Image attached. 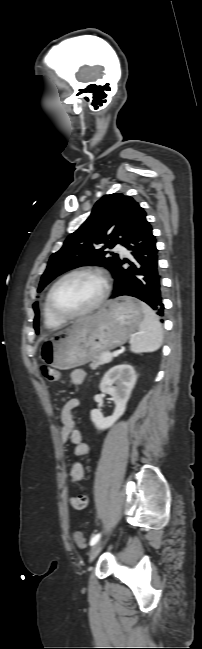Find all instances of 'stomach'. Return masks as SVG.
<instances>
[{
    "label": "stomach",
    "instance_id": "stomach-1",
    "mask_svg": "<svg viewBox=\"0 0 202 649\" xmlns=\"http://www.w3.org/2000/svg\"><path fill=\"white\" fill-rule=\"evenodd\" d=\"M143 321L142 303L121 297L112 300L96 315L53 334L40 347V360L67 370L84 365L99 353L125 343Z\"/></svg>",
    "mask_w": 202,
    "mask_h": 649
}]
</instances>
